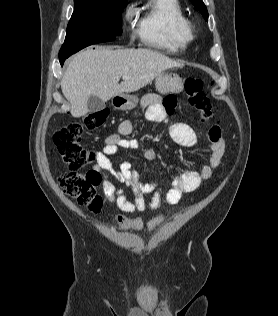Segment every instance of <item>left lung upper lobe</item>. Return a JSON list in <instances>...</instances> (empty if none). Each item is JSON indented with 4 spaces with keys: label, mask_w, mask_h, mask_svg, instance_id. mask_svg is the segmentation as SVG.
<instances>
[{
    "label": "left lung upper lobe",
    "mask_w": 278,
    "mask_h": 316,
    "mask_svg": "<svg viewBox=\"0 0 278 316\" xmlns=\"http://www.w3.org/2000/svg\"><path fill=\"white\" fill-rule=\"evenodd\" d=\"M192 4L195 6V9L200 11L206 21H208V11L202 0H191Z\"/></svg>",
    "instance_id": "5c2ea615"
}]
</instances>
